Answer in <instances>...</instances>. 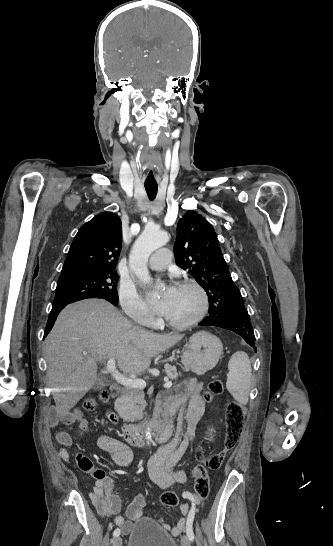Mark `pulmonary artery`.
<instances>
[{"mask_svg": "<svg viewBox=\"0 0 333 546\" xmlns=\"http://www.w3.org/2000/svg\"><path fill=\"white\" fill-rule=\"evenodd\" d=\"M171 261V251L167 248L158 249L149 259L148 265L153 270L165 269Z\"/></svg>", "mask_w": 333, "mask_h": 546, "instance_id": "pulmonary-artery-1", "label": "pulmonary artery"}]
</instances>
